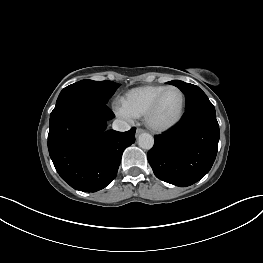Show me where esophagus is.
I'll list each match as a JSON object with an SVG mask.
<instances>
[{
    "label": "esophagus",
    "instance_id": "1",
    "mask_svg": "<svg viewBox=\"0 0 263 263\" xmlns=\"http://www.w3.org/2000/svg\"><path fill=\"white\" fill-rule=\"evenodd\" d=\"M144 132V129L142 128H137L136 130V136H138L139 134L143 133Z\"/></svg>",
    "mask_w": 263,
    "mask_h": 263
}]
</instances>
